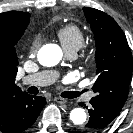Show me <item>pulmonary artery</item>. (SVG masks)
Listing matches in <instances>:
<instances>
[{
  "label": "pulmonary artery",
  "mask_w": 133,
  "mask_h": 133,
  "mask_svg": "<svg viewBox=\"0 0 133 133\" xmlns=\"http://www.w3.org/2000/svg\"><path fill=\"white\" fill-rule=\"evenodd\" d=\"M70 58L74 57V53H67ZM58 72L56 71H42L36 74L26 76L22 79L21 84L26 85H35V86H45L55 82L58 78ZM93 97V93L86 95V100L89 101Z\"/></svg>",
  "instance_id": "e3ab8cb5"
}]
</instances>
